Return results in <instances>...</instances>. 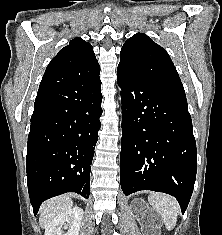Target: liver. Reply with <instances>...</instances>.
Here are the masks:
<instances>
[{
    "label": "liver",
    "instance_id": "6515ba94",
    "mask_svg": "<svg viewBox=\"0 0 222 235\" xmlns=\"http://www.w3.org/2000/svg\"><path fill=\"white\" fill-rule=\"evenodd\" d=\"M73 202L68 195L58 196L45 202L41 208L39 224L47 228L48 224L58 215L70 210Z\"/></svg>",
    "mask_w": 222,
    "mask_h": 235
}]
</instances>
